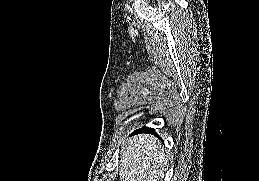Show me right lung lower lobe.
Masks as SVG:
<instances>
[{
    "label": "right lung lower lobe",
    "mask_w": 259,
    "mask_h": 181,
    "mask_svg": "<svg viewBox=\"0 0 259 181\" xmlns=\"http://www.w3.org/2000/svg\"><path fill=\"white\" fill-rule=\"evenodd\" d=\"M134 133H153V134H155V131L153 128L142 127L141 129H137L136 131H134Z\"/></svg>",
    "instance_id": "right-lung-lower-lobe-1"
}]
</instances>
